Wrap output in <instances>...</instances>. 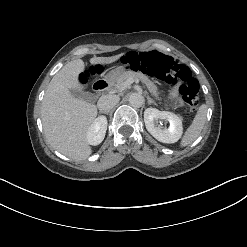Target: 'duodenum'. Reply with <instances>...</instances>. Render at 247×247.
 Wrapping results in <instances>:
<instances>
[{
  "instance_id": "1",
  "label": "duodenum",
  "mask_w": 247,
  "mask_h": 247,
  "mask_svg": "<svg viewBox=\"0 0 247 247\" xmlns=\"http://www.w3.org/2000/svg\"><path fill=\"white\" fill-rule=\"evenodd\" d=\"M108 89V85L105 81L98 80L93 84V91L96 95H103Z\"/></svg>"
}]
</instances>
